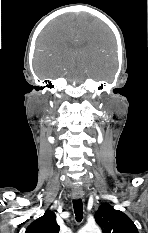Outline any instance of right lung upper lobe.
Here are the masks:
<instances>
[{"label":"right lung upper lobe","mask_w":148,"mask_h":233,"mask_svg":"<svg viewBox=\"0 0 148 233\" xmlns=\"http://www.w3.org/2000/svg\"><path fill=\"white\" fill-rule=\"evenodd\" d=\"M59 229L55 213L47 210L42 217L36 219L27 227L25 233H58Z\"/></svg>","instance_id":"cb5924a9"}]
</instances>
